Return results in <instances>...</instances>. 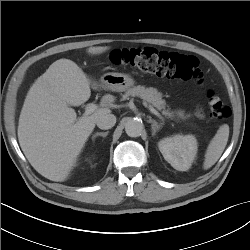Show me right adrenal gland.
Wrapping results in <instances>:
<instances>
[{"label":"right adrenal gland","instance_id":"right-adrenal-gland-1","mask_svg":"<svg viewBox=\"0 0 250 250\" xmlns=\"http://www.w3.org/2000/svg\"><path fill=\"white\" fill-rule=\"evenodd\" d=\"M108 135V131L107 132H97L95 135H93V138H96L97 136H102V137H106Z\"/></svg>","mask_w":250,"mask_h":250}]
</instances>
